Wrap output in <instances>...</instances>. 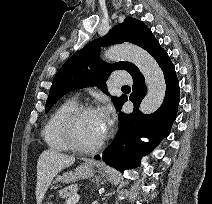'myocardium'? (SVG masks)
Segmentation results:
<instances>
[{
  "label": "myocardium",
  "instance_id": "1",
  "mask_svg": "<svg viewBox=\"0 0 212 204\" xmlns=\"http://www.w3.org/2000/svg\"><path fill=\"white\" fill-rule=\"evenodd\" d=\"M88 112H98V109L92 105H77L64 115L60 124L61 133L67 145L70 147L71 150L80 153H90L96 151L103 145L107 137V131H106L104 135L101 137V139H99L96 143L89 146L81 145L77 141L74 132L75 121L79 116Z\"/></svg>",
  "mask_w": 212,
  "mask_h": 204
}]
</instances>
